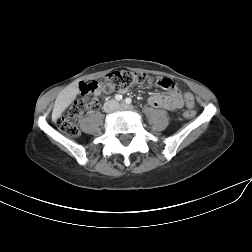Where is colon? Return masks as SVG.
Instances as JSON below:
<instances>
[{
	"mask_svg": "<svg viewBox=\"0 0 252 252\" xmlns=\"http://www.w3.org/2000/svg\"><path fill=\"white\" fill-rule=\"evenodd\" d=\"M157 80L149 77L143 72L116 71L99 78L98 80L83 83L80 87V97L74 102L69 110L61 115L56 124L58 128L71 137H77L80 130L76 120L89 111L99 107L100 97L111 92H126L135 85L155 84ZM165 87L170 84L165 82ZM184 100L189 110L184 112L186 118L195 115L194 97L190 93L184 94Z\"/></svg>",
	"mask_w": 252,
	"mask_h": 252,
	"instance_id": "obj_1",
	"label": "colon"
}]
</instances>
